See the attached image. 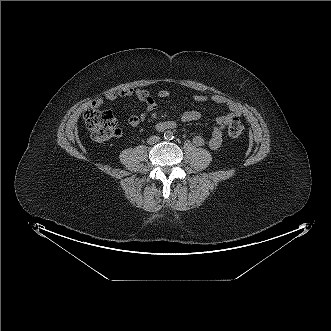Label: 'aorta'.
<instances>
[{
  "instance_id": "aorta-1",
  "label": "aorta",
  "mask_w": 331,
  "mask_h": 331,
  "mask_svg": "<svg viewBox=\"0 0 331 331\" xmlns=\"http://www.w3.org/2000/svg\"><path fill=\"white\" fill-rule=\"evenodd\" d=\"M164 138L166 140H172L174 138V133L171 130H167L164 133Z\"/></svg>"
}]
</instances>
